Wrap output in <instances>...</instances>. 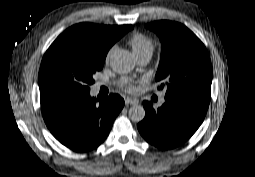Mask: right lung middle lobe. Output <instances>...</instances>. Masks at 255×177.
<instances>
[{"label":"right lung middle lobe","instance_id":"1","mask_svg":"<svg viewBox=\"0 0 255 177\" xmlns=\"http://www.w3.org/2000/svg\"><path fill=\"white\" fill-rule=\"evenodd\" d=\"M125 25L122 35L132 29ZM107 50L97 43L60 35L45 53L40 71V96L90 91L92 75L102 69Z\"/></svg>","mask_w":255,"mask_h":177}]
</instances>
